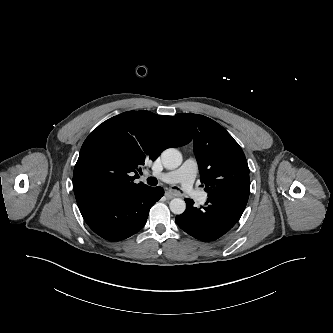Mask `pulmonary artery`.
<instances>
[{
	"instance_id": "pulmonary-artery-1",
	"label": "pulmonary artery",
	"mask_w": 333,
	"mask_h": 333,
	"mask_svg": "<svg viewBox=\"0 0 333 333\" xmlns=\"http://www.w3.org/2000/svg\"><path fill=\"white\" fill-rule=\"evenodd\" d=\"M198 171V165L194 158H188L178 169L163 173L154 174L159 180L165 183H181L184 191L194 196L200 201L207 198L205 192L198 191L194 188V181Z\"/></svg>"
}]
</instances>
